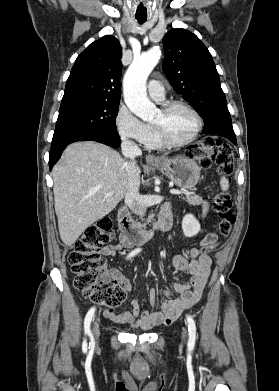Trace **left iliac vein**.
<instances>
[{
	"label": "left iliac vein",
	"instance_id": "4c4485c4",
	"mask_svg": "<svg viewBox=\"0 0 279 391\" xmlns=\"http://www.w3.org/2000/svg\"><path fill=\"white\" fill-rule=\"evenodd\" d=\"M187 333H188L187 329L183 328V330H182V341H183V343H185V341H186Z\"/></svg>",
	"mask_w": 279,
	"mask_h": 391
}]
</instances>
